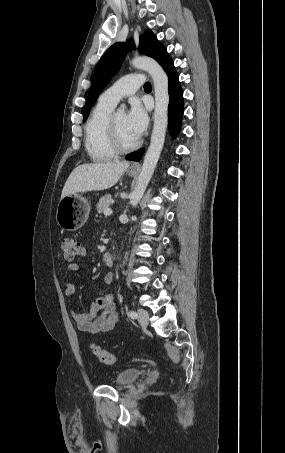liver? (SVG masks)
<instances>
[{"label":"liver","instance_id":"obj_1","mask_svg":"<svg viewBox=\"0 0 285 453\" xmlns=\"http://www.w3.org/2000/svg\"><path fill=\"white\" fill-rule=\"evenodd\" d=\"M129 167V162H98L77 166L69 175L61 198L79 192L105 190L114 186Z\"/></svg>","mask_w":285,"mask_h":453}]
</instances>
